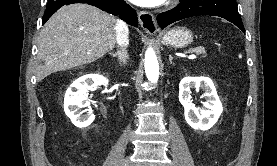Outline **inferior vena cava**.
Wrapping results in <instances>:
<instances>
[{
    "label": "inferior vena cava",
    "instance_id": "1",
    "mask_svg": "<svg viewBox=\"0 0 277 166\" xmlns=\"http://www.w3.org/2000/svg\"><path fill=\"white\" fill-rule=\"evenodd\" d=\"M129 29L125 22L118 20L116 26V41L117 44L122 48V51L125 53V48L129 44Z\"/></svg>",
    "mask_w": 277,
    "mask_h": 166
}]
</instances>
